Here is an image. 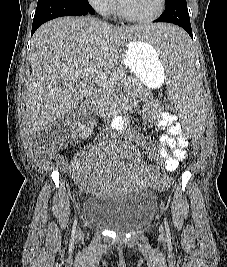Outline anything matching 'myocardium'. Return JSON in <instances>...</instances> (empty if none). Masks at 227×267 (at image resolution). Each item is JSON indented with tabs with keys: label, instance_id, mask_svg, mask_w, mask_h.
<instances>
[{
	"label": "myocardium",
	"instance_id": "1",
	"mask_svg": "<svg viewBox=\"0 0 227 267\" xmlns=\"http://www.w3.org/2000/svg\"><path fill=\"white\" fill-rule=\"evenodd\" d=\"M165 2L166 0H158V7L152 15L148 17H136V16L127 14L125 10L122 8L120 0H118L117 13L124 20L132 22V23H149V22L156 20L157 18L161 16V14L164 12V9H165Z\"/></svg>",
	"mask_w": 227,
	"mask_h": 267
}]
</instances>
